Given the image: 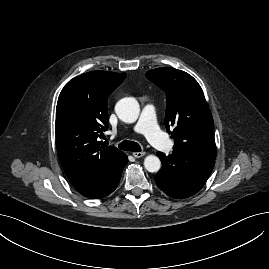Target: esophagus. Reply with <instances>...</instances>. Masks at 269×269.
Instances as JSON below:
<instances>
[{
	"mask_svg": "<svg viewBox=\"0 0 269 269\" xmlns=\"http://www.w3.org/2000/svg\"><path fill=\"white\" fill-rule=\"evenodd\" d=\"M145 154H146L145 152H134L133 156L135 158H141V157L145 156Z\"/></svg>",
	"mask_w": 269,
	"mask_h": 269,
	"instance_id": "esophagus-1",
	"label": "esophagus"
}]
</instances>
